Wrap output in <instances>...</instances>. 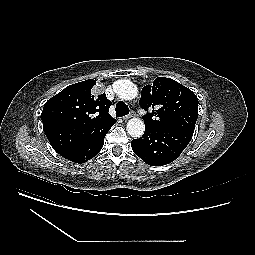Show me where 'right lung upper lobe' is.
I'll return each instance as SVG.
<instances>
[{
    "mask_svg": "<svg viewBox=\"0 0 255 255\" xmlns=\"http://www.w3.org/2000/svg\"><path fill=\"white\" fill-rule=\"evenodd\" d=\"M95 83L96 80L89 79L70 85L44 105L43 128L61 156L89 134L111 128L116 122L108 112L111 102L105 93L93 95Z\"/></svg>",
    "mask_w": 255,
    "mask_h": 255,
    "instance_id": "1",
    "label": "right lung upper lobe"
}]
</instances>
